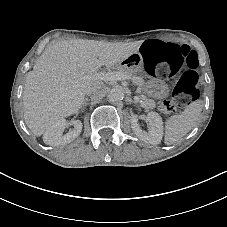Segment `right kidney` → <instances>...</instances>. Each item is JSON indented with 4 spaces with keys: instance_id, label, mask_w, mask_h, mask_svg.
<instances>
[{
    "instance_id": "ca27d5eb",
    "label": "right kidney",
    "mask_w": 227,
    "mask_h": 227,
    "mask_svg": "<svg viewBox=\"0 0 227 227\" xmlns=\"http://www.w3.org/2000/svg\"><path fill=\"white\" fill-rule=\"evenodd\" d=\"M73 125V129L63 135L68 125L64 118L59 119L56 123L48 127L43 134V142L49 146L66 145L74 141L82 131V123L80 120H74L69 123Z\"/></svg>"
}]
</instances>
